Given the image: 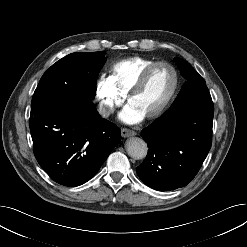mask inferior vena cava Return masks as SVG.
Masks as SVG:
<instances>
[{
    "mask_svg": "<svg viewBox=\"0 0 247 247\" xmlns=\"http://www.w3.org/2000/svg\"><path fill=\"white\" fill-rule=\"evenodd\" d=\"M99 113L103 117H108L111 113H113V110L110 108L103 107L99 110Z\"/></svg>",
    "mask_w": 247,
    "mask_h": 247,
    "instance_id": "inferior-vena-cava-1",
    "label": "inferior vena cava"
}]
</instances>
